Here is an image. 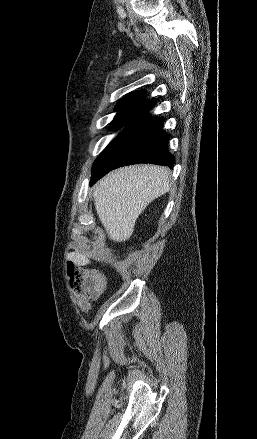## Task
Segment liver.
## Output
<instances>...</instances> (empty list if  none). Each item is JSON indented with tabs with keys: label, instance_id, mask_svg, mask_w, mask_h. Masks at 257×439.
Segmentation results:
<instances>
[{
	"label": "liver",
	"instance_id": "6515ba94",
	"mask_svg": "<svg viewBox=\"0 0 257 439\" xmlns=\"http://www.w3.org/2000/svg\"><path fill=\"white\" fill-rule=\"evenodd\" d=\"M170 180L168 169L156 165L122 167L100 180L94 189V205L109 238L128 240L139 215L170 189ZM67 257L80 266L90 262L79 252Z\"/></svg>",
	"mask_w": 257,
	"mask_h": 439
}]
</instances>
